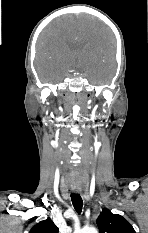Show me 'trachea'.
Listing matches in <instances>:
<instances>
[{
    "mask_svg": "<svg viewBox=\"0 0 148 233\" xmlns=\"http://www.w3.org/2000/svg\"><path fill=\"white\" fill-rule=\"evenodd\" d=\"M71 200H72V204H73L76 212L78 214H80L81 211H82V206H83V200H82L80 194L72 193L71 194Z\"/></svg>",
    "mask_w": 148,
    "mask_h": 233,
    "instance_id": "1",
    "label": "trachea"
}]
</instances>
